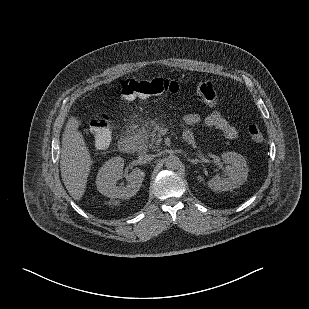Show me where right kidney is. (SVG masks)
<instances>
[{
    "label": "right kidney",
    "mask_w": 309,
    "mask_h": 309,
    "mask_svg": "<svg viewBox=\"0 0 309 309\" xmlns=\"http://www.w3.org/2000/svg\"><path fill=\"white\" fill-rule=\"evenodd\" d=\"M123 168L124 159L120 156L111 158L100 168L96 177V186L102 195L113 199H129L140 190L145 173L139 168H134L127 176L126 186L117 185V181L123 176Z\"/></svg>",
    "instance_id": "obj_1"
}]
</instances>
